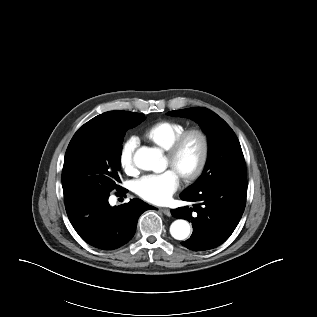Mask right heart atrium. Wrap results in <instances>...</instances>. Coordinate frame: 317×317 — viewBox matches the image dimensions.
I'll return each mask as SVG.
<instances>
[{"mask_svg":"<svg viewBox=\"0 0 317 317\" xmlns=\"http://www.w3.org/2000/svg\"><path fill=\"white\" fill-rule=\"evenodd\" d=\"M138 138L136 136H129L121 146L119 153V164L122 169L132 174L136 170V163L134 160L135 151L138 147Z\"/></svg>","mask_w":317,"mask_h":317,"instance_id":"obj_1","label":"right heart atrium"}]
</instances>
